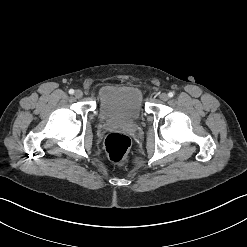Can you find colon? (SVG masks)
<instances>
[{
	"mask_svg": "<svg viewBox=\"0 0 247 247\" xmlns=\"http://www.w3.org/2000/svg\"><path fill=\"white\" fill-rule=\"evenodd\" d=\"M131 140L122 133H110L105 139V149L111 161L124 164L130 155Z\"/></svg>",
	"mask_w": 247,
	"mask_h": 247,
	"instance_id": "colon-1",
	"label": "colon"
}]
</instances>
